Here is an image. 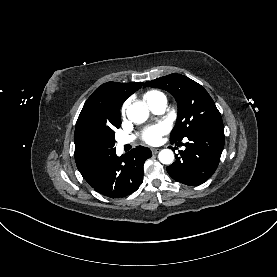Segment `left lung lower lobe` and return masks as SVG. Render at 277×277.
I'll use <instances>...</instances> for the list:
<instances>
[{
	"label": "left lung lower lobe",
	"mask_w": 277,
	"mask_h": 277,
	"mask_svg": "<svg viewBox=\"0 0 277 277\" xmlns=\"http://www.w3.org/2000/svg\"><path fill=\"white\" fill-rule=\"evenodd\" d=\"M186 149L179 152L167 172L176 181L197 186L207 181L217 169L224 148V126L218 123L201 128L187 137Z\"/></svg>",
	"instance_id": "left-lung-lower-lobe-1"
}]
</instances>
